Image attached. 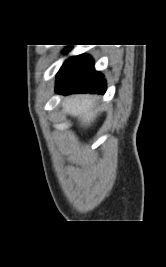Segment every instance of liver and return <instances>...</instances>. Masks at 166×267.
Listing matches in <instances>:
<instances>
[{
	"label": "liver",
	"mask_w": 166,
	"mask_h": 267,
	"mask_svg": "<svg viewBox=\"0 0 166 267\" xmlns=\"http://www.w3.org/2000/svg\"><path fill=\"white\" fill-rule=\"evenodd\" d=\"M94 101L91 95H72L64 100L63 111L77 117L81 125L89 126L97 117Z\"/></svg>",
	"instance_id": "6515ba94"
}]
</instances>
